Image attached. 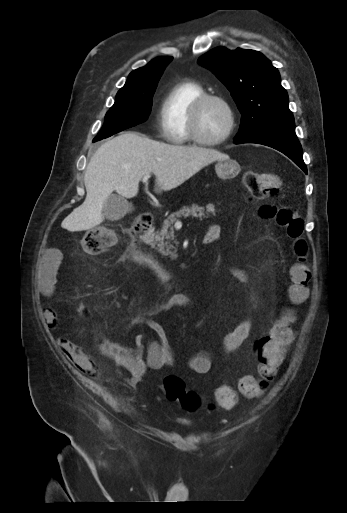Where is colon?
<instances>
[{"instance_id": "colon-1", "label": "colon", "mask_w": 347, "mask_h": 513, "mask_svg": "<svg viewBox=\"0 0 347 513\" xmlns=\"http://www.w3.org/2000/svg\"><path fill=\"white\" fill-rule=\"evenodd\" d=\"M244 192L252 198H274L280 191V180L273 173H252L245 177ZM262 219L274 220L285 229L292 241V250L296 261L289 271V294L293 301H301L308 294L311 270L308 264V244L304 237V220L291 208L263 204L258 210ZM117 242L116 233L102 226L88 230L82 238V247L89 254H99L112 248ZM83 313L90 311L88 304L81 306ZM295 321L292 310L281 312L272 322L269 335L259 345V358L256 364V377L244 376L238 380L239 392L248 398L264 394L270 383L278 375V365L287 357L286 345L292 339L291 325ZM103 343L102 339H99ZM164 389L169 400L179 402L190 412L201 406L199 396L186 390L184 380L177 375H168L164 379ZM215 402L221 408L231 409L237 403V394L230 385H220L215 391Z\"/></svg>"}]
</instances>
